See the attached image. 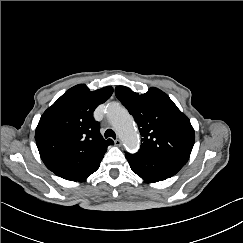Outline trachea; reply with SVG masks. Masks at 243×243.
<instances>
[{
    "instance_id": "3493384b",
    "label": "trachea",
    "mask_w": 243,
    "mask_h": 243,
    "mask_svg": "<svg viewBox=\"0 0 243 243\" xmlns=\"http://www.w3.org/2000/svg\"><path fill=\"white\" fill-rule=\"evenodd\" d=\"M105 138L112 137L113 139H116V134L112 129H107L104 134Z\"/></svg>"
}]
</instances>
